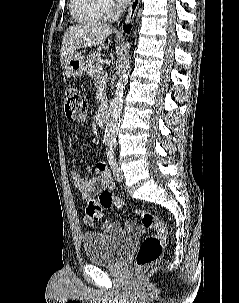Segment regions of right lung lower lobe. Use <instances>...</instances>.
Masks as SVG:
<instances>
[{
    "label": "right lung lower lobe",
    "instance_id": "right-lung-lower-lobe-1",
    "mask_svg": "<svg viewBox=\"0 0 239 303\" xmlns=\"http://www.w3.org/2000/svg\"><path fill=\"white\" fill-rule=\"evenodd\" d=\"M131 29V25H124V31L129 32Z\"/></svg>",
    "mask_w": 239,
    "mask_h": 303
}]
</instances>
